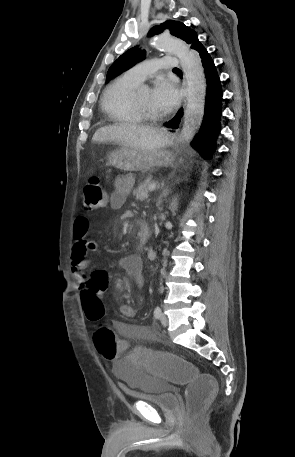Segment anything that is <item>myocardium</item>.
I'll use <instances>...</instances> for the list:
<instances>
[{"label":"myocardium","instance_id":"f54148a6","mask_svg":"<svg viewBox=\"0 0 295 457\" xmlns=\"http://www.w3.org/2000/svg\"><path fill=\"white\" fill-rule=\"evenodd\" d=\"M137 93L138 91L135 90L132 95V102L135 110L144 118L147 120H158L161 118V115L158 114L157 112H153L142 106L138 100H137Z\"/></svg>","mask_w":295,"mask_h":457}]
</instances>
